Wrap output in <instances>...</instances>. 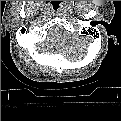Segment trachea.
<instances>
[{
	"label": "trachea",
	"mask_w": 121,
	"mask_h": 121,
	"mask_svg": "<svg viewBox=\"0 0 121 121\" xmlns=\"http://www.w3.org/2000/svg\"><path fill=\"white\" fill-rule=\"evenodd\" d=\"M60 1H52V6L54 10H57L60 7Z\"/></svg>",
	"instance_id": "obj_1"
}]
</instances>
